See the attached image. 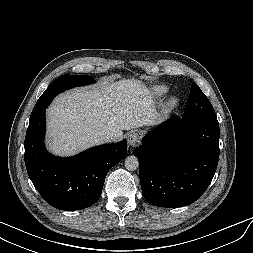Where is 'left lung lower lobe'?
<instances>
[{
    "label": "left lung lower lobe",
    "mask_w": 253,
    "mask_h": 253,
    "mask_svg": "<svg viewBox=\"0 0 253 253\" xmlns=\"http://www.w3.org/2000/svg\"><path fill=\"white\" fill-rule=\"evenodd\" d=\"M146 200L159 207H182L207 189L219 160L216 116L172 117L134 149Z\"/></svg>",
    "instance_id": "left-lung-lower-lobe-1"
}]
</instances>
